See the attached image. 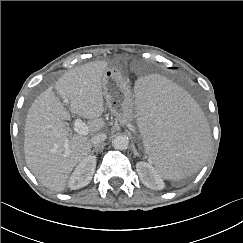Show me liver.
I'll list each match as a JSON object with an SVG mask.
<instances>
[{"instance_id":"liver-1","label":"liver","mask_w":243,"mask_h":243,"mask_svg":"<svg viewBox=\"0 0 243 243\" xmlns=\"http://www.w3.org/2000/svg\"><path fill=\"white\" fill-rule=\"evenodd\" d=\"M109 65L90 62L62 75L57 94L69 101V109L48 89L33 102L24 128V153L28 168L47 188L61 192L74 167L91 152L89 136L104 128L103 78ZM88 119V134H70L64 121L70 112ZM68 146L65 147V144Z\"/></svg>"}]
</instances>
